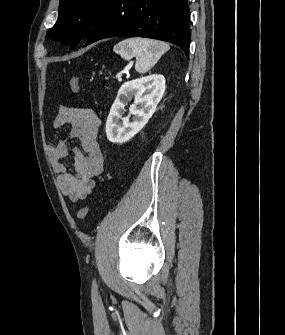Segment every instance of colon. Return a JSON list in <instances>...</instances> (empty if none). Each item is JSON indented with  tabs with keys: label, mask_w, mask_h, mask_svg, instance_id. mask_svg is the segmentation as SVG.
I'll return each mask as SVG.
<instances>
[{
	"label": "colon",
	"mask_w": 285,
	"mask_h": 335,
	"mask_svg": "<svg viewBox=\"0 0 285 335\" xmlns=\"http://www.w3.org/2000/svg\"><path fill=\"white\" fill-rule=\"evenodd\" d=\"M70 87H71V90L75 93H79L81 91L80 82L76 76H73L71 78ZM89 211H90V208L88 206L82 207L77 213L78 219L80 221H84L87 218Z\"/></svg>",
	"instance_id": "1"
}]
</instances>
